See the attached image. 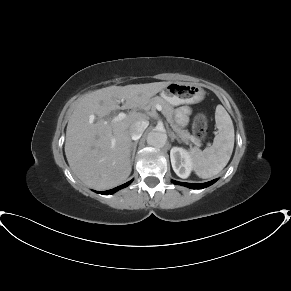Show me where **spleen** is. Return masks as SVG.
<instances>
[{"mask_svg": "<svg viewBox=\"0 0 291 291\" xmlns=\"http://www.w3.org/2000/svg\"><path fill=\"white\" fill-rule=\"evenodd\" d=\"M218 134L214 137L213 145L203 151L198 148L190 149L195 173L203 179L211 178L221 172L230 160L234 148V126L230 115L222 105L215 111Z\"/></svg>", "mask_w": 291, "mask_h": 291, "instance_id": "1", "label": "spleen"}]
</instances>
